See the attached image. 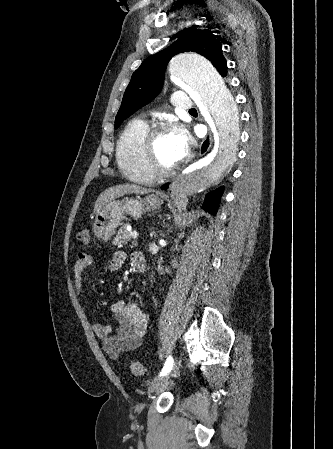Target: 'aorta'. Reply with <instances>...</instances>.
<instances>
[{
  "mask_svg": "<svg viewBox=\"0 0 333 449\" xmlns=\"http://www.w3.org/2000/svg\"><path fill=\"white\" fill-rule=\"evenodd\" d=\"M168 66L173 82L200 103L203 115L216 127L220 138L216 151L195 162L170 184L173 202L182 211L189 196L219 184L225 169L234 162L238 115L229 88L206 58L194 52L179 53Z\"/></svg>",
  "mask_w": 333,
  "mask_h": 449,
  "instance_id": "1",
  "label": "aorta"
}]
</instances>
